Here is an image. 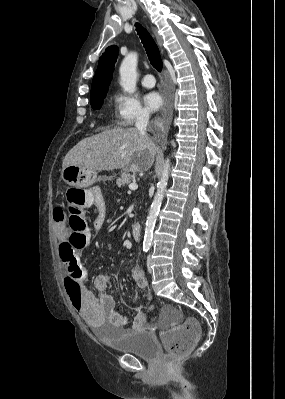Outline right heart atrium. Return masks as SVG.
<instances>
[{"label": "right heart atrium", "instance_id": "1", "mask_svg": "<svg viewBox=\"0 0 285 399\" xmlns=\"http://www.w3.org/2000/svg\"><path fill=\"white\" fill-rule=\"evenodd\" d=\"M114 102L116 122L119 126H131L149 117L148 111L132 95L118 92L114 95Z\"/></svg>", "mask_w": 285, "mask_h": 399}]
</instances>
